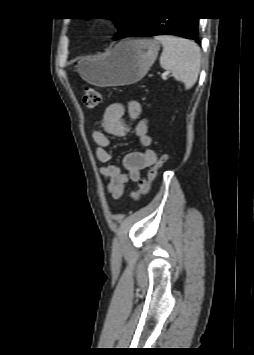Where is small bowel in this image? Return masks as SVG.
<instances>
[{"label": "small bowel", "mask_w": 254, "mask_h": 355, "mask_svg": "<svg viewBox=\"0 0 254 355\" xmlns=\"http://www.w3.org/2000/svg\"><path fill=\"white\" fill-rule=\"evenodd\" d=\"M125 111L128 120L124 119ZM135 122L133 129L131 123ZM133 131L143 151L127 153L122 159L121 167L112 164L113 155L110 151V136L122 137ZM92 138L96 143V156L104 166L100 169L101 174L108 181L107 190L114 199L122 196L129 182L140 179L141 171L150 168L157 159V153L150 148L151 137L148 134V123L142 118V105L138 101H130L125 109L123 103L113 102L105 110L100 128H94Z\"/></svg>", "instance_id": "small-bowel-1"}]
</instances>
